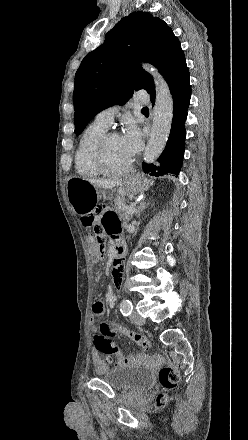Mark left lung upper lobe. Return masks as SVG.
<instances>
[{
  "label": "left lung upper lobe",
  "mask_w": 248,
  "mask_h": 440,
  "mask_svg": "<svg viewBox=\"0 0 248 440\" xmlns=\"http://www.w3.org/2000/svg\"><path fill=\"white\" fill-rule=\"evenodd\" d=\"M138 61L156 66L169 88L189 78L184 52L171 28L149 12L131 13L106 34L100 47L85 56L76 72V135L97 113L124 104L135 90L145 89L151 99L155 98L153 78Z\"/></svg>",
  "instance_id": "left-lung-upper-lobe-1"
}]
</instances>
